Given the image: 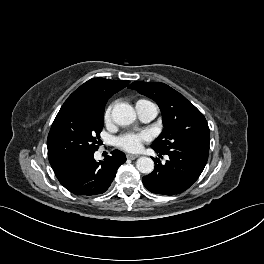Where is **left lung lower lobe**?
<instances>
[{
	"label": "left lung lower lobe",
	"mask_w": 264,
	"mask_h": 264,
	"mask_svg": "<svg viewBox=\"0 0 264 264\" xmlns=\"http://www.w3.org/2000/svg\"><path fill=\"white\" fill-rule=\"evenodd\" d=\"M155 151L167 154L169 160L162 165L154 159V171L142 181L147 190L163 195L179 194L188 189L202 173L209 154L206 148L186 144L167 152Z\"/></svg>",
	"instance_id": "0a47b994"
}]
</instances>
